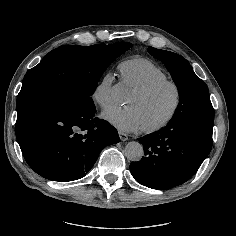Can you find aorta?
<instances>
[{
  "label": "aorta",
  "mask_w": 236,
  "mask_h": 236,
  "mask_svg": "<svg viewBox=\"0 0 236 236\" xmlns=\"http://www.w3.org/2000/svg\"><path fill=\"white\" fill-rule=\"evenodd\" d=\"M124 154L130 161H139L144 155L143 146L136 141L128 142L125 146Z\"/></svg>",
  "instance_id": "762f6f07"
}]
</instances>
